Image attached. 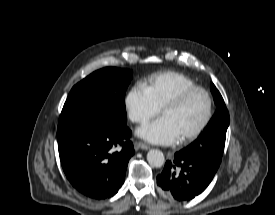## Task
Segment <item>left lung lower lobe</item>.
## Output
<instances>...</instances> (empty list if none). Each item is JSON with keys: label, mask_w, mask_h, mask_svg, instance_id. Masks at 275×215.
Segmentation results:
<instances>
[{"label": "left lung lower lobe", "mask_w": 275, "mask_h": 215, "mask_svg": "<svg viewBox=\"0 0 275 215\" xmlns=\"http://www.w3.org/2000/svg\"><path fill=\"white\" fill-rule=\"evenodd\" d=\"M219 165L196 158L182 151L167 161L157 184L170 199L189 201L201 194L215 176Z\"/></svg>", "instance_id": "1"}]
</instances>
